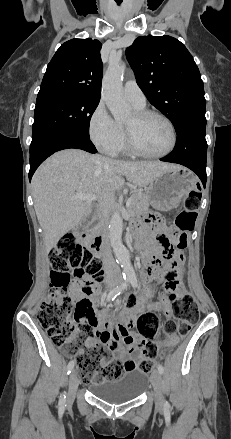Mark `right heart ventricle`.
Returning <instances> with one entry per match:
<instances>
[{
    "instance_id": "right-heart-ventricle-1",
    "label": "right heart ventricle",
    "mask_w": 231,
    "mask_h": 439,
    "mask_svg": "<svg viewBox=\"0 0 231 439\" xmlns=\"http://www.w3.org/2000/svg\"><path fill=\"white\" fill-rule=\"evenodd\" d=\"M135 108L137 110L143 109V108H138V107H135ZM121 130H122V134H123L122 141H121L119 147L114 152H112V154H117V153H120V152H127V146H126V141H125V133H124L123 127H121Z\"/></svg>"
}]
</instances>
